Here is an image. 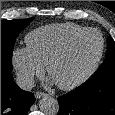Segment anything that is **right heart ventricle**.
<instances>
[{
	"mask_svg": "<svg viewBox=\"0 0 115 115\" xmlns=\"http://www.w3.org/2000/svg\"><path fill=\"white\" fill-rule=\"evenodd\" d=\"M86 29L74 23H55L38 27L25 37L27 49L43 66L74 34Z\"/></svg>",
	"mask_w": 115,
	"mask_h": 115,
	"instance_id": "e07e8e85",
	"label": "right heart ventricle"
}]
</instances>
